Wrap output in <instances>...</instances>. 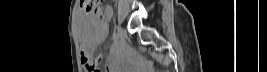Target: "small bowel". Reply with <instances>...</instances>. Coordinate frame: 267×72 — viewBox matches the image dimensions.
<instances>
[{
	"label": "small bowel",
	"mask_w": 267,
	"mask_h": 72,
	"mask_svg": "<svg viewBox=\"0 0 267 72\" xmlns=\"http://www.w3.org/2000/svg\"><path fill=\"white\" fill-rule=\"evenodd\" d=\"M111 12H112V9L110 6H107L106 7V14L108 16L111 15ZM93 28L95 29L92 36H91V45L92 46H96L97 44H99L102 40H104L105 36H106V33L105 32H99L95 26V24L92 25ZM82 62L87 66L88 65V62H89V55H88V52L86 49L83 50L82 52ZM108 71L109 68H108Z\"/></svg>",
	"instance_id": "1"
}]
</instances>
